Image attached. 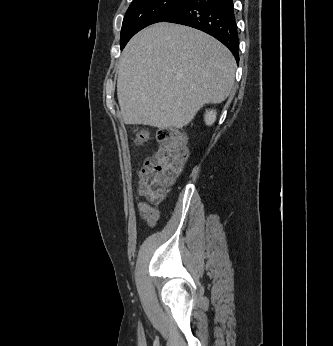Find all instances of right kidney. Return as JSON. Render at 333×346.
<instances>
[{"label":"right kidney","mask_w":333,"mask_h":346,"mask_svg":"<svg viewBox=\"0 0 333 346\" xmlns=\"http://www.w3.org/2000/svg\"><path fill=\"white\" fill-rule=\"evenodd\" d=\"M216 120V111L210 110L206 111L205 122L207 125H212Z\"/></svg>","instance_id":"right-kidney-1"}]
</instances>
